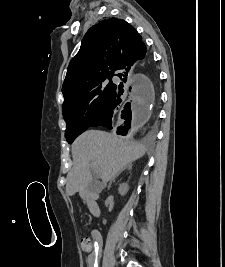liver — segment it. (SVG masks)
Wrapping results in <instances>:
<instances>
[{
  "instance_id": "obj_1",
  "label": "liver",
  "mask_w": 225,
  "mask_h": 267,
  "mask_svg": "<svg viewBox=\"0 0 225 267\" xmlns=\"http://www.w3.org/2000/svg\"><path fill=\"white\" fill-rule=\"evenodd\" d=\"M145 152L146 148L133 140L100 130L84 132L72 144L74 163L67 175L66 193L72 196L89 187L92 162L96 163V173L106 183Z\"/></svg>"
}]
</instances>
